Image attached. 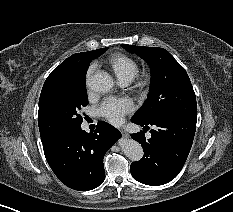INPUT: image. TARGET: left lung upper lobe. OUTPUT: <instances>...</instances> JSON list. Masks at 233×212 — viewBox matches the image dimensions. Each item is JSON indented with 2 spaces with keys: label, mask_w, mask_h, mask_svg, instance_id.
I'll return each mask as SVG.
<instances>
[{
  "label": "left lung upper lobe",
  "mask_w": 233,
  "mask_h": 212,
  "mask_svg": "<svg viewBox=\"0 0 233 212\" xmlns=\"http://www.w3.org/2000/svg\"><path fill=\"white\" fill-rule=\"evenodd\" d=\"M143 58L151 69L148 98L132 119L142 123L161 115L197 119L195 93L185 69L165 49L122 44Z\"/></svg>",
  "instance_id": "5c2ea615"
}]
</instances>
